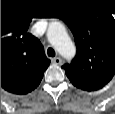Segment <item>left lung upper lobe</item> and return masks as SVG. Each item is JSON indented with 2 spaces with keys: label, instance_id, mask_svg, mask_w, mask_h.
I'll use <instances>...</instances> for the list:
<instances>
[{
  "label": "left lung upper lobe",
  "instance_id": "1",
  "mask_svg": "<svg viewBox=\"0 0 115 114\" xmlns=\"http://www.w3.org/2000/svg\"><path fill=\"white\" fill-rule=\"evenodd\" d=\"M71 29L77 54L62 68L72 84L95 91L115 75V20L109 13L80 11L62 17Z\"/></svg>",
  "mask_w": 115,
  "mask_h": 114
}]
</instances>
